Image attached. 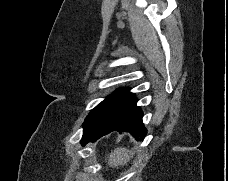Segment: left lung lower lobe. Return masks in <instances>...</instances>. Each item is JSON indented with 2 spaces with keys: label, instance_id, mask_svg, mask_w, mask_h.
Returning a JSON list of instances; mask_svg holds the SVG:
<instances>
[{
  "label": "left lung lower lobe",
  "instance_id": "obj_1",
  "mask_svg": "<svg viewBox=\"0 0 228 181\" xmlns=\"http://www.w3.org/2000/svg\"><path fill=\"white\" fill-rule=\"evenodd\" d=\"M136 102L137 99L133 95L125 115L118 124L108 128L102 127L84 131L81 144L84 146L88 142H94L115 130L119 132H129L132 136L136 137V140H142L143 137L146 136L147 131L142 122L143 112L140 107L136 105Z\"/></svg>",
  "mask_w": 228,
  "mask_h": 181
}]
</instances>
